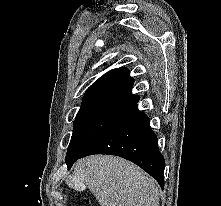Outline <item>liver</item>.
<instances>
[{"instance_id":"6515ba94","label":"liver","mask_w":221,"mask_h":206,"mask_svg":"<svg viewBox=\"0 0 221 206\" xmlns=\"http://www.w3.org/2000/svg\"><path fill=\"white\" fill-rule=\"evenodd\" d=\"M66 183L77 191L89 188L101 206H159L156 181L135 164L115 156L79 160Z\"/></svg>"}]
</instances>
